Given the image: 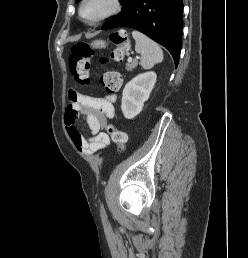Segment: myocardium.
Instances as JSON below:
<instances>
[{
	"label": "myocardium",
	"mask_w": 248,
	"mask_h": 258,
	"mask_svg": "<svg viewBox=\"0 0 248 258\" xmlns=\"http://www.w3.org/2000/svg\"><path fill=\"white\" fill-rule=\"evenodd\" d=\"M89 0H81L79 5V15L89 25H98L113 16H115L121 10V0H110L109 8L96 18H87L84 14L85 5Z\"/></svg>",
	"instance_id": "1"
}]
</instances>
